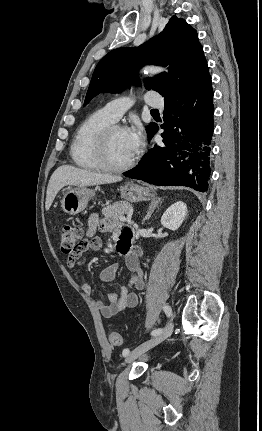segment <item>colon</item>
I'll return each instance as SVG.
<instances>
[{
    "mask_svg": "<svg viewBox=\"0 0 262 431\" xmlns=\"http://www.w3.org/2000/svg\"><path fill=\"white\" fill-rule=\"evenodd\" d=\"M60 248L68 256H78L99 241L97 237H87L80 225L65 224L60 230ZM108 341L112 345H120L122 338L119 332L110 331Z\"/></svg>",
    "mask_w": 262,
    "mask_h": 431,
    "instance_id": "colon-1",
    "label": "colon"
}]
</instances>
